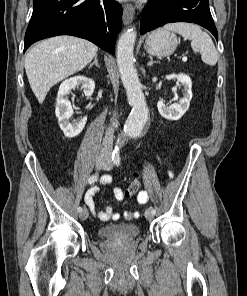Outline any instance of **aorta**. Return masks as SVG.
<instances>
[{
  "label": "aorta",
  "instance_id": "1",
  "mask_svg": "<svg viewBox=\"0 0 247 296\" xmlns=\"http://www.w3.org/2000/svg\"><path fill=\"white\" fill-rule=\"evenodd\" d=\"M136 31L131 28L120 36L116 58L121 80L127 93V100L132 106L131 113L124 126L125 136H139L148 120V107L142 92L137 70L134 67V45ZM122 137V139H123ZM124 140H122V143Z\"/></svg>",
  "mask_w": 247,
  "mask_h": 296
}]
</instances>
